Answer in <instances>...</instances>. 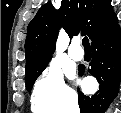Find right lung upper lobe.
<instances>
[{"instance_id":"1","label":"right lung upper lobe","mask_w":121,"mask_h":113,"mask_svg":"<svg viewBox=\"0 0 121 113\" xmlns=\"http://www.w3.org/2000/svg\"><path fill=\"white\" fill-rule=\"evenodd\" d=\"M117 21L111 0H62L59 10L47 2L27 28L26 71L52 57L61 26L70 38L81 34L93 41L113 29Z\"/></svg>"}]
</instances>
